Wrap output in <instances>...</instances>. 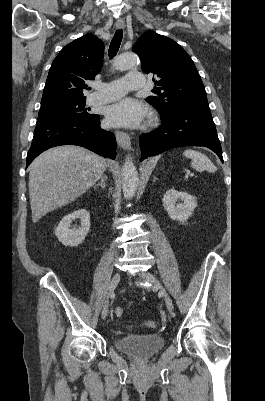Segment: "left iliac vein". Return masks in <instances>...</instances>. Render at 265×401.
<instances>
[{
  "label": "left iliac vein",
  "mask_w": 265,
  "mask_h": 401,
  "mask_svg": "<svg viewBox=\"0 0 265 401\" xmlns=\"http://www.w3.org/2000/svg\"><path fill=\"white\" fill-rule=\"evenodd\" d=\"M142 279L153 283V285H152L153 289L154 288H158L160 290V293L164 296L167 310L170 313H172L173 310H174V306H173L172 300H171L170 296L168 295V293L166 292V290L157 281L156 277L153 274L149 273V272H145V273H142Z\"/></svg>",
  "instance_id": "1"
}]
</instances>
